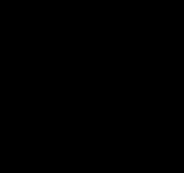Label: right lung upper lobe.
I'll list each match as a JSON object with an SVG mask.
<instances>
[{
    "label": "right lung upper lobe",
    "mask_w": 184,
    "mask_h": 173,
    "mask_svg": "<svg viewBox=\"0 0 184 173\" xmlns=\"http://www.w3.org/2000/svg\"><path fill=\"white\" fill-rule=\"evenodd\" d=\"M77 51L68 46L45 52L20 81L11 107L16 132L69 117L67 82Z\"/></svg>",
    "instance_id": "obj_1"
}]
</instances>
